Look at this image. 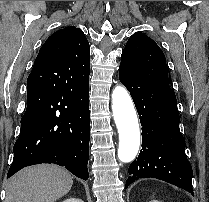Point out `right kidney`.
Instances as JSON below:
<instances>
[{
	"mask_svg": "<svg viewBox=\"0 0 209 202\" xmlns=\"http://www.w3.org/2000/svg\"><path fill=\"white\" fill-rule=\"evenodd\" d=\"M62 202H83V200H81L79 198L72 197V198L66 199V200H64Z\"/></svg>",
	"mask_w": 209,
	"mask_h": 202,
	"instance_id": "obj_1",
	"label": "right kidney"
}]
</instances>
